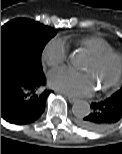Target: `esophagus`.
<instances>
[{
    "label": "esophagus",
    "instance_id": "34e87169",
    "mask_svg": "<svg viewBox=\"0 0 122 154\" xmlns=\"http://www.w3.org/2000/svg\"><path fill=\"white\" fill-rule=\"evenodd\" d=\"M62 94H64V93H62ZM64 95H65V94H64ZM65 96L67 97V99H68V101H69L70 103H74V102L77 101V98H75V97L68 96V95H65Z\"/></svg>",
    "mask_w": 122,
    "mask_h": 154
}]
</instances>
